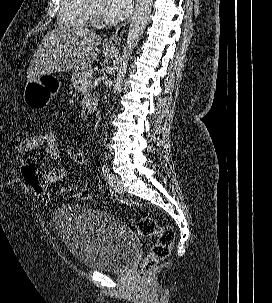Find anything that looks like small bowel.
Wrapping results in <instances>:
<instances>
[{"instance_id":"c3829d8e","label":"small bowel","mask_w":272,"mask_h":303,"mask_svg":"<svg viewBox=\"0 0 272 303\" xmlns=\"http://www.w3.org/2000/svg\"><path fill=\"white\" fill-rule=\"evenodd\" d=\"M36 149H43L44 152L50 157V159L54 161L59 160L62 155L59 148H55V149L43 148L39 142L38 137L34 135L26 138L18 145L17 163L20 166L24 167L25 166L24 155ZM40 173L42 175L43 181L46 186L63 181L67 175V172L63 167H53L45 171H42Z\"/></svg>"}]
</instances>
